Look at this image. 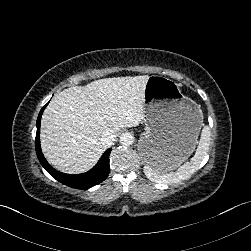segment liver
I'll return each instance as SVG.
<instances>
[{"label": "liver", "instance_id": "obj_1", "mask_svg": "<svg viewBox=\"0 0 251 251\" xmlns=\"http://www.w3.org/2000/svg\"><path fill=\"white\" fill-rule=\"evenodd\" d=\"M148 75L95 80L64 89L45 109L40 130L42 152L57 170L83 173L104 152L100 138L136 127L144 118V89Z\"/></svg>", "mask_w": 251, "mask_h": 251}]
</instances>
